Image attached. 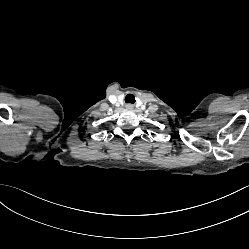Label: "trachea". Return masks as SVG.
Masks as SVG:
<instances>
[{"mask_svg":"<svg viewBox=\"0 0 249 249\" xmlns=\"http://www.w3.org/2000/svg\"><path fill=\"white\" fill-rule=\"evenodd\" d=\"M125 102L126 103H134L135 102V97L133 94H128L126 97H125Z\"/></svg>","mask_w":249,"mask_h":249,"instance_id":"1","label":"trachea"}]
</instances>
